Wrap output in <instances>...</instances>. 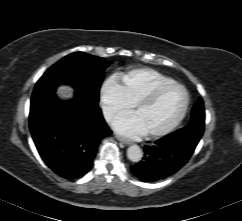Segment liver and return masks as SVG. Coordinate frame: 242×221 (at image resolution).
<instances>
[{"mask_svg":"<svg viewBox=\"0 0 242 221\" xmlns=\"http://www.w3.org/2000/svg\"><path fill=\"white\" fill-rule=\"evenodd\" d=\"M58 95L63 100L71 99L73 96V90L69 86H61L57 90Z\"/></svg>","mask_w":242,"mask_h":221,"instance_id":"6515ba94","label":"liver"}]
</instances>
